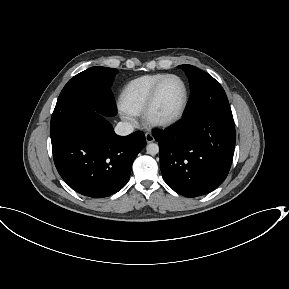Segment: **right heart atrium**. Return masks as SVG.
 Instances as JSON below:
<instances>
[{"mask_svg": "<svg viewBox=\"0 0 289 289\" xmlns=\"http://www.w3.org/2000/svg\"><path fill=\"white\" fill-rule=\"evenodd\" d=\"M123 117H124L125 119H127V120H130V117H129L128 113H126V112H124V111H123Z\"/></svg>", "mask_w": 289, "mask_h": 289, "instance_id": "d8ad5b80", "label": "right heart atrium"}]
</instances>
